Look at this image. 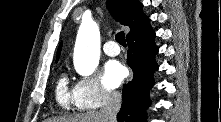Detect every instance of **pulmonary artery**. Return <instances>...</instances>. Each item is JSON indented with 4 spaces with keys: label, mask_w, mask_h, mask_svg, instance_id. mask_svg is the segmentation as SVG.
Masks as SVG:
<instances>
[{
    "label": "pulmonary artery",
    "mask_w": 221,
    "mask_h": 122,
    "mask_svg": "<svg viewBox=\"0 0 221 122\" xmlns=\"http://www.w3.org/2000/svg\"><path fill=\"white\" fill-rule=\"evenodd\" d=\"M103 50L105 52V54H107L108 56H116L120 53V48L117 45V43L115 41H107L104 46H103Z\"/></svg>",
    "instance_id": "obj_1"
}]
</instances>
